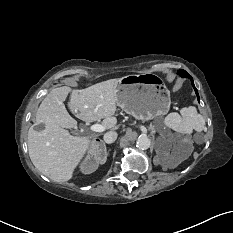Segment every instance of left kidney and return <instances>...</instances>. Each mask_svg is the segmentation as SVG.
I'll list each match as a JSON object with an SVG mask.
<instances>
[{
	"mask_svg": "<svg viewBox=\"0 0 233 233\" xmlns=\"http://www.w3.org/2000/svg\"><path fill=\"white\" fill-rule=\"evenodd\" d=\"M166 142H167V147H166V151H165V156H167V157H170L172 160H175L176 161V158H175V155H169V151H170V149H171V147H172V144L170 143V141L169 140H166ZM180 142H175L174 144H173V149L174 150H178L179 149V147H180Z\"/></svg>",
	"mask_w": 233,
	"mask_h": 233,
	"instance_id": "1",
	"label": "left kidney"
}]
</instances>
